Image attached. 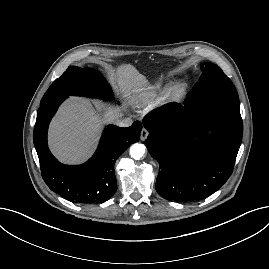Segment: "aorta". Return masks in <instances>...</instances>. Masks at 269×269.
<instances>
[{"label":"aorta","mask_w":269,"mask_h":269,"mask_svg":"<svg viewBox=\"0 0 269 269\" xmlns=\"http://www.w3.org/2000/svg\"><path fill=\"white\" fill-rule=\"evenodd\" d=\"M146 151V147L145 145L141 144V143H134L131 147H130V156L135 159V160H139L141 159Z\"/></svg>","instance_id":"aorta-1"}]
</instances>
